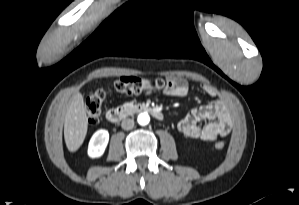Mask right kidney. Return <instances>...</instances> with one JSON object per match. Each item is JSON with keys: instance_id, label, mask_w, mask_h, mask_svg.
Segmentation results:
<instances>
[{"instance_id": "ca27d5eb", "label": "right kidney", "mask_w": 299, "mask_h": 205, "mask_svg": "<svg viewBox=\"0 0 299 205\" xmlns=\"http://www.w3.org/2000/svg\"><path fill=\"white\" fill-rule=\"evenodd\" d=\"M109 133L105 129L96 131L90 139L88 145V156L90 158L101 157L107 147Z\"/></svg>"}]
</instances>
